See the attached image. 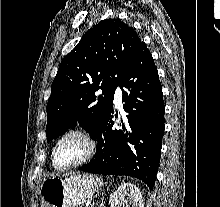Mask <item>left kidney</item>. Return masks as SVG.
<instances>
[{
	"label": "left kidney",
	"instance_id": "obj_1",
	"mask_svg": "<svg viewBox=\"0 0 220 207\" xmlns=\"http://www.w3.org/2000/svg\"><path fill=\"white\" fill-rule=\"evenodd\" d=\"M130 202L131 207H144L143 197L140 189L130 183H124L110 196V207H122Z\"/></svg>",
	"mask_w": 220,
	"mask_h": 207
}]
</instances>
